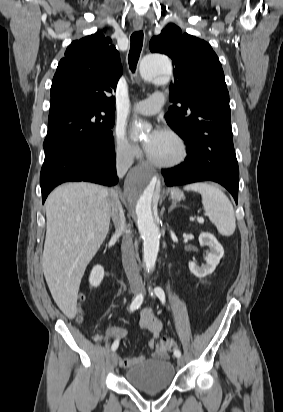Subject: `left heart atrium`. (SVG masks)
Returning <instances> with one entry per match:
<instances>
[{"instance_id": "left-heart-atrium-1", "label": "left heart atrium", "mask_w": 283, "mask_h": 412, "mask_svg": "<svg viewBox=\"0 0 283 412\" xmlns=\"http://www.w3.org/2000/svg\"><path fill=\"white\" fill-rule=\"evenodd\" d=\"M163 133V131L161 129H155L151 135H150V139L145 143V148L148 151L152 145L154 144V142L160 137V135Z\"/></svg>"}]
</instances>
